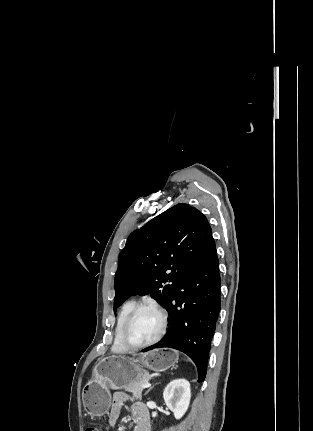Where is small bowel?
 <instances>
[{
    "label": "small bowel",
    "instance_id": "c3829d8e",
    "mask_svg": "<svg viewBox=\"0 0 313 431\" xmlns=\"http://www.w3.org/2000/svg\"><path fill=\"white\" fill-rule=\"evenodd\" d=\"M127 400V396L123 393H116L113 398L111 411V424H114L119 416L120 410ZM132 416L137 423L135 431H149L150 422L145 408L140 404H133L131 407Z\"/></svg>",
    "mask_w": 313,
    "mask_h": 431
}]
</instances>
